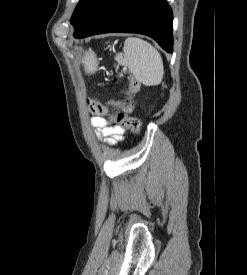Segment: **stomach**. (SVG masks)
Wrapping results in <instances>:
<instances>
[{
	"label": "stomach",
	"instance_id": "obj_1",
	"mask_svg": "<svg viewBox=\"0 0 247 275\" xmlns=\"http://www.w3.org/2000/svg\"><path fill=\"white\" fill-rule=\"evenodd\" d=\"M84 65L87 72H93L95 70L97 61L92 53L86 55Z\"/></svg>",
	"mask_w": 247,
	"mask_h": 275
}]
</instances>
